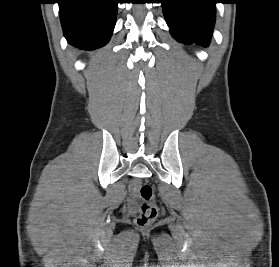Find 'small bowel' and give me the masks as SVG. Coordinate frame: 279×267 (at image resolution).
<instances>
[{
  "label": "small bowel",
  "mask_w": 279,
  "mask_h": 267,
  "mask_svg": "<svg viewBox=\"0 0 279 267\" xmlns=\"http://www.w3.org/2000/svg\"><path fill=\"white\" fill-rule=\"evenodd\" d=\"M135 191H136V185L134 184V185L132 186V193L134 194Z\"/></svg>",
  "instance_id": "small-bowel-1"
}]
</instances>
